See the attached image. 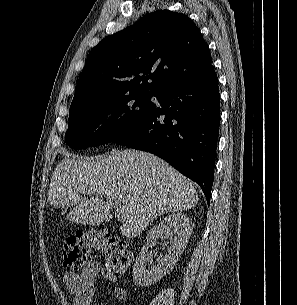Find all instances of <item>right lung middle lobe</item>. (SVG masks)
<instances>
[{
  "mask_svg": "<svg viewBox=\"0 0 297 305\" xmlns=\"http://www.w3.org/2000/svg\"><path fill=\"white\" fill-rule=\"evenodd\" d=\"M156 94L131 91L70 108L66 143L71 148L84 149L110 142L153 111L151 98Z\"/></svg>",
  "mask_w": 297,
  "mask_h": 305,
  "instance_id": "1",
  "label": "right lung middle lobe"
}]
</instances>
